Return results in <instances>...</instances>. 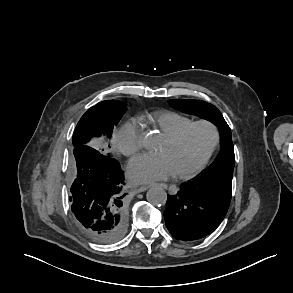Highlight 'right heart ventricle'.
<instances>
[{
    "mask_svg": "<svg viewBox=\"0 0 293 293\" xmlns=\"http://www.w3.org/2000/svg\"><path fill=\"white\" fill-rule=\"evenodd\" d=\"M150 122L166 137L193 121L188 116L173 111H158L149 116Z\"/></svg>",
    "mask_w": 293,
    "mask_h": 293,
    "instance_id": "right-heart-ventricle-1",
    "label": "right heart ventricle"
}]
</instances>
